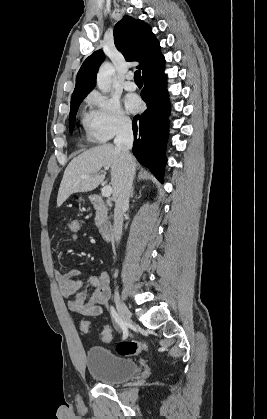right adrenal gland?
Segmentation results:
<instances>
[{"label":"right adrenal gland","instance_id":"1","mask_svg":"<svg viewBox=\"0 0 267 419\" xmlns=\"http://www.w3.org/2000/svg\"><path fill=\"white\" fill-rule=\"evenodd\" d=\"M131 198H133V196H134V187H132V190H131Z\"/></svg>","mask_w":267,"mask_h":419}]
</instances>
